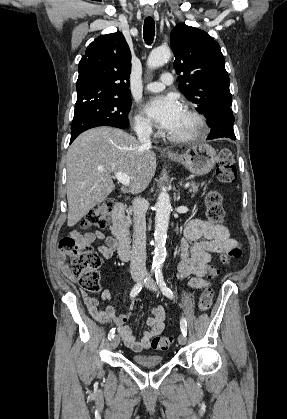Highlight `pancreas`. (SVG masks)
<instances>
[{
    "label": "pancreas",
    "instance_id": "obj_1",
    "mask_svg": "<svg viewBox=\"0 0 287 419\" xmlns=\"http://www.w3.org/2000/svg\"><path fill=\"white\" fill-rule=\"evenodd\" d=\"M198 189H199V185H197V184H195V183H192L191 184V188H190V192L192 193V195L194 196V194H196L197 192H198ZM130 214H131V209H129L128 210V216H127V225H130L131 224V217H130Z\"/></svg>",
    "mask_w": 287,
    "mask_h": 419
}]
</instances>
